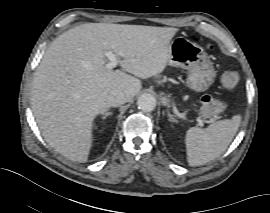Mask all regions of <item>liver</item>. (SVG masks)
Returning <instances> with one entry per match:
<instances>
[{
  "label": "liver",
  "mask_w": 270,
  "mask_h": 213,
  "mask_svg": "<svg viewBox=\"0 0 270 213\" xmlns=\"http://www.w3.org/2000/svg\"><path fill=\"white\" fill-rule=\"evenodd\" d=\"M177 28L86 23L72 28L46 50L33 78L31 104L46 142L71 161L86 162L95 117L110 106L114 90L131 100L139 78L164 71ZM121 57L120 70L106 68V52Z\"/></svg>",
  "instance_id": "liver-1"
}]
</instances>
